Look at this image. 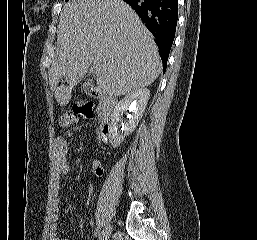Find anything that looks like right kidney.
I'll return each instance as SVG.
<instances>
[{
	"label": "right kidney",
	"instance_id": "1",
	"mask_svg": "<svg viewBox=\"0 0 257 240\" xmlns=\"http://www.w3.org/2000/svg\"><path fill=\"white\" fill-rule=\"evenodd\" d=\"M150 96L147 88H139L126 95L114 108L112 123L109 130V141L113 147H118L124 141L125 136L130 135L138 125ZM129 110L128 121L120 128L118 122L121 120L123 112Z\"/></svg>",
	"mask_w": 257,
	"mask_h": 240
}]
</instances>
